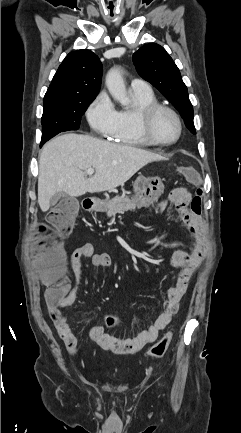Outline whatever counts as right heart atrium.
<instances>
[{
  "instance_id": "1",
  "label": "right heart atrium",
  "mask_w": 241,
  "mask_h": 433,
  "mask_svg": "<svg viewBox=\"0 0 241 433\" xmlns=\"http://www.w3.org/2000/svg\"><path fill=\"white\" fill-rule=\"evenodd\" d=\"M90 126L99 134L105 137L112 136L116 124L118 111L110 98L99 94L91 103L86 112Z\"/></svg>"
}]
</instances>
